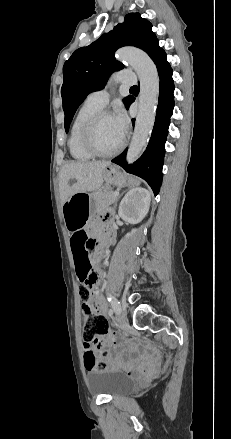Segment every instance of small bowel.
<instances>
[{
	"label": "small bowel",
	"mask_w": 231,
	"mask_h": 439,
	"mask_svg": "<svg viewBox=\"0 0 231 439\" xmlns=\"http://www.w3.org/2000/svg\"><path fill=\"white\" fill-rule=\"evenodd\" d=\"M72 231L73 232H72L71 239H70L71 250H72V255L74 258L75 265H76V269H78V266L80 263H82V264L87 263V262L90 263L89 250L91 249V247H93V242L88 241L86 233L83 229L77 228V229H74ZM77 235H83L86 238L77 243L75 241V237ZM105 236L109 240V239L113 238V233L112 232H110L109 234L105 233ZM96 295H97V297H96L95 303L93 305L92 311L96 314L107 315L105 301L100 296L98 290L96 291ZM118 344H119V341H118L117 337L114 335H109L105 338H100L97 342H94L93 344H91V343L84 344V352L85 353L88 351L96 352V351H98V349L100 347L103 350L108 352L110 350V347L116 348ZM112 365L113 366L116 365V360L113 361ZM153 369H154V366L151 363H146L137 369L131 370L129 373L140 374V373L150 371Z\"/></svg>",
	"instance_id": "small-bowel-1"
}]
</instances>
